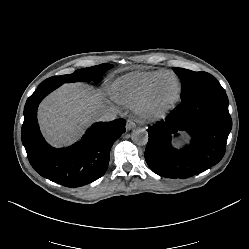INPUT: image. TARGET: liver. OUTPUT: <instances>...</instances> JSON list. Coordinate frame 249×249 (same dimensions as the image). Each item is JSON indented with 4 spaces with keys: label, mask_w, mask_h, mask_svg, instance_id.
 <instances>
[{
    "label": "liver",
    "mask_w": 249,
    "mask_h": 249,
    "mask_svg": "<svg viewBox=\"0 0 249 249\" xmlns=\"http://www.w3.org/2000/svg\"><path fill=\"white\" fill-rule=\"evenodd\" d=\"M102 106V95L92 86L82 82L64 84L39 105L42 134L56 147L70 145L95 121L94 113Z\"/></svg>",
    "instance_id": "obj_1"
}]
</instances>
